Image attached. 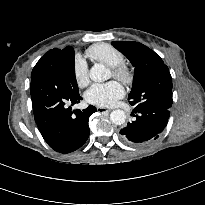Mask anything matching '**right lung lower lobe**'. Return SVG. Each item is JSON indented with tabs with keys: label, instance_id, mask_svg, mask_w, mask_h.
Returning a JSON list of instances; mask_svg holds the SVG:
<instances>
[{
	"label": "right lung lower lobe",
	"instance_id": "98d812e1",
	"mask_svg": "<svg viewBox=\"0 0 205 205\" xmlns=\"http://www.w3.org/2000/svg\"><path fill=\"white\" fill-rule=\"evenodd\" d=\"M30 93L38 129L53 150L70 153L86 142L88 120L97 109L92 105L84 110L71 109L82 99L72 47L62 51L51 66L32 76Z\"/></svg>",
	"mask_w": 205,
	"mask_h": 205
}]
</instances>
